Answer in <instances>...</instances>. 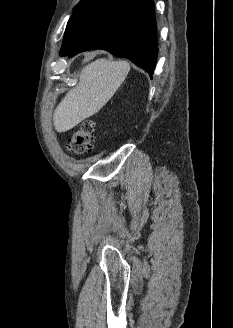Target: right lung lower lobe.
<instances>
[{"mask_svg":"<svg viewBox=\"0 0 233 328\" xmlns=\"http://www.w3.org/2000/svg\"><path fill=\"white\" fill-rule=\"evenodd\" d=\"M156 29L152 0H92L68 21L60 56L103 49L153 74Z\"/></svg>","mask_w":233,"mask_h":328,"instance_id":"1","label":"right lung lower lobe"}]
</instances>
